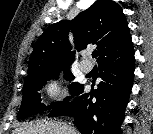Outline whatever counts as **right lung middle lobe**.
Instances as JSON below:
<instances>
[{
	"label": "right lung middle lobe",
	"mask_w": 153,
	"mask_h": 134,
	"mask_svg": "<svg viewBox=\"0 0 153 134\" xmlns=\"http://www.w3.org/2000/svg\"><path fill=\"white\" fill-rule=\"evenodd\" d=\"M62 70L64 71L65 79H74V76L69 71V66L49 69L25 78L23 88V100L17 115V119L27 118L44 110L54 109L60 104L70 100L71 97H67L63 102H55L49 106H46L45 104L40 102L41 99L38 91L41 90L42 86L45 84L46 81H49L52 78L57 79L59 76V72H61ZM82 86L83 85L77 82L72 83L70 85L71 95L74 96Z\"/></svg>",
	"instance_id": "right-lung-middle-lobe-1"
}]
</instances>
